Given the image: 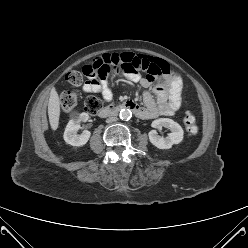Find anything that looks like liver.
<instances>
[{
  "instance_id": "6515ba94",
  "label": "liver",
  "mask_w": 248,
  "mask_h": 248,
  "mask_svg": "<svg viewBox=\"0 0 248 248\" xmlns=\"http://www.w3.org/2000/svg\"><path fill=\"white\" fill-rule=\"evenodd\" d=\"M48 117L52 130H56L59 125L60 117V100L55 89L51 90L48 102Z\"/></svg>"
}]
</instances>
